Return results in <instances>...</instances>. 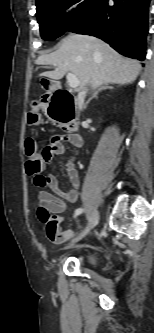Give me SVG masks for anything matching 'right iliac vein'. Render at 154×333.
Masks as SVG:
<instances>
[{
    "mask_svg": "<svg viewBox=\"0 0 154 333\" xmlns=\"http://www.w3.org/2000/svg\"><path fill=\"white\" fill-rule=\"evenodd\" d=\"M98 221H99V213L97 210H95L86 228L77 237H75L72 240V242L68 245V247L73 246L76 242L85 237L97 225Z\"/></svg>",
    "mask_w": 154,
    "mask_h": 333,
    "instance_id": "obj_1",
    "label": "right iliac vein"
}]
</instances>
